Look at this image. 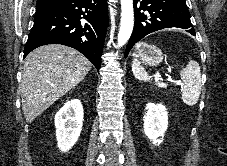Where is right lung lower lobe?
<instances>
[{"label":"right lung lower lobe","mask_w":227,"mask_h":166,"mask_svg":"<svg viewBox=\"0 0 227 166\" xmlns=\"http://www.w3.org/2000/svg\"><path fill=\"white\" fill-rule=\"evenodd\" d=\"M107 25L106 0H63L46 6L36 10L24 57L39 46L62 44L81 52L99 71Z\"/></svg>","instance_id":"1"}]
</instances>
